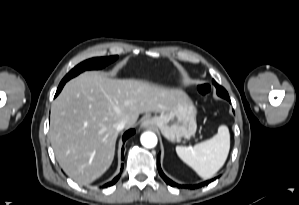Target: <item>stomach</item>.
Wrapping results in <instances>:
<instances>
[{"instance_id":"obj_1","label":"stomach","mask_w":299,"mask_h":205,"mask_svg":"<svg viewBox=\"0 0 299 205\" xmlns=\"http://www.w3.org/2000/svg\"><path fill=\"white\" fill-rule=\"evenodd\" d=\"M197 110L191 99L183 93L173 108L160 116L149 118V123L160 129L169 141H180L182 137L193 136L197 129Z\"/></svg>"}]
</instances>
